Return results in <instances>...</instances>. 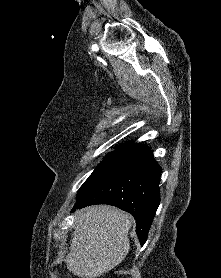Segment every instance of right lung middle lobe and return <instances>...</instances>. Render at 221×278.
<instances>
[{
	"instance_id": "1",
	"label": "right lung middle lobe",
	"mask_w": 221,
	"mask_h": 278,
	"mask_svg": "<svg viewBox=\"0 0 221 278\" xmlns=\"http://www.w3.org/2000/svg\"><path fill=\"white\" fill-rule=\"evenodd\" d=\"M135 156L136 150L129 146H121L120 149L109 153L101 164L97 166L86 182L81 186L77 202L82 200L87 193L101 181L112 175L121 167L131 163Z\"/></svg>"
}]
</instances>
